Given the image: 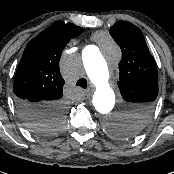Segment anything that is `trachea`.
<instances>
[{
  "label": "trachea",
  "instance_id": "trachea-1",
  "mask_svg": "<svg viewBox=\"0 0 174 174\" xmlns=\"http://www.w3.org/2000/svg\"><path fill=\"white\" fill-rule=\"evenodd\" d=\"M76 85H77V86H80V87H82V88H84V89H86V87H87V81H86V79H84V78L79 79V80L77 81Z\"/></svg>",
  "mask_w": 174,
  "mask_h": 174
}]
</instances>
